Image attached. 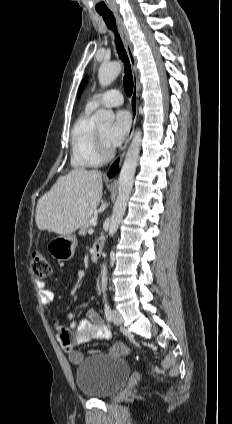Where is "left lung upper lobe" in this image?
<instances>
[{"label": "left lung upper lobe", "instance_id": "obj_1", "mask_svg": "<svg viewBox=\"0 0 232 424\" xmlns=\"http://www.w3.org/2000/svg\"><path fill=\"white\" fill-rule=\"evenodd\" d=\"M86 80H87V77L83 80V82L81 83V85L79 87L78 96L81 94V92H82V90L85 86Z\"/></svg>", "mask_w": 232, "mask_h": 424}]
</instances>
